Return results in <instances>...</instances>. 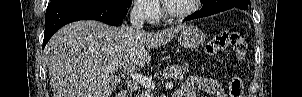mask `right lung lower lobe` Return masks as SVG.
<instances>
[{
    "label": "right lung lower lobe",
    "mask_w": 302,
    "mask_h": 97,
    "mask_svg": "<svg viewBox=\"0 0 302 97\" xmlns=\"http://www.w3.org/2000/svg\"><path fill=\"white\" fill-rule=\"evenodd\" d=\"M126 6L110 0H64L50 2L45 16L43 48L62 26L78 20H98L116 26L127 14Z\"/></svg>",
    "instance_id": "98d812e1"
}]
</instances>
